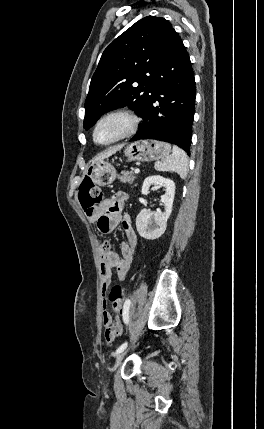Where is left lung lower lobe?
Masks as SVG:
<instances>
[{
	"label": "left lung lower lobe",
	"mask_w": 264,
	"mask_h": 429,
	"mask_svg": "<svg viewBox=\"0 0 264 429\" xmlns=\"http://www.w3.org/2000/svg\"><path fill=\"white\" fill-rule=\"evenodd\" d=\"M195 91L189 55L172 29L151 82L150 96L140 115L143 122L130 141L161 140L176 144L189 154Z\"/></svg>",
	"instance_id": "1"
}]
</instances>
